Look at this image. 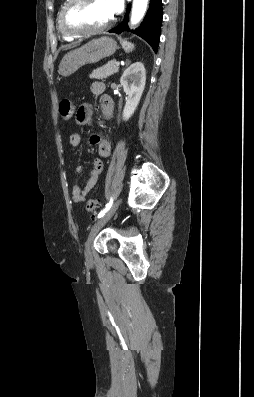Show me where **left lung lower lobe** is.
Here are the masks:
<instances>
[{"label":"left lung lower lobe","mask_w":254,"mask_h":397,"mask_svg":"<svg viewBox=\"0 0 254 397\" xmlns=\"http://www.w3.org/2000/svg\"><path fill=\"white\" fill-rule=\"evenodd\" d=\"M130 10V5L127 6V12ZM162 23V2L161 0H150V6L147 14L141 23V25L135 29L130 30L128 28V16L115 28L109 30V32H114L120 34L125 31H131L132 33L140 36L146 40L150 46L153 48L155 53L158 51L160 31Z\"/></svg>","instance_id":"obj_1"}]
</instances>
